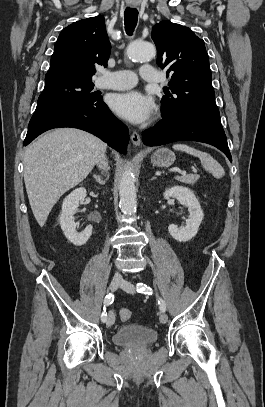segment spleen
<instances>
[{
    "instance_id": "spleen-1",
    "label": "spleen",
    "mask_w": 265,
    "mask_h": 407,
    "mask_svg": "<svg viewBox=\"0 0 265 407\" xmlns=\"http://www.w3.org/2000/svg\"><path fill=\"white\" fill-rule=\"evenodd\" d=\"M173 149L184 151L190 155L198 157L201 161L202 167L211 173L215 178H222L225 174L223 167L213 157L203 151L197 150L193 147L184 144H175Z\"/></svg>"
}]
</instances>
